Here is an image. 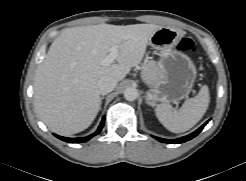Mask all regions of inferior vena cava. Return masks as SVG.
I'll return each mask as SVG.
<instances>
[{
  "mask_svg": "<svg viewBox=\"0 0 246 181\" xmlns=\"http://www.w3.org/2000/svg\"><path fill=\"white\" fill-rule=\"evenodd\" d=\"M117 81L110 76H103L97 83V88L100 94L105 95L114 90Z\"/></svg>",
  "mask_w": 246,
  "mask_h": 181,
  "instance_id": "602c4592",
  "label": "inferior vena cava"
}]
</instances>
